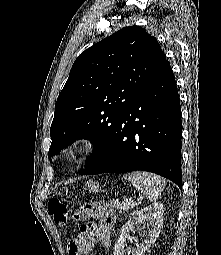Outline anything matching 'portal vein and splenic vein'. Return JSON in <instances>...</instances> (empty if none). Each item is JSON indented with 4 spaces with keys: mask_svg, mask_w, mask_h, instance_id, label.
Wrapping results in <instances>:
<instances>
[{
    "mask_svg": "<svg viewBox=\"0 0 221 255\" xmlns=\"http://www.w3.org/2000/svg\"><path fill=\"white\" fill-rule=\"evenodd\" d=\"M131 203L134 204V205L136 204V202H131Z\"/></svg>",
    "mask_w": 221,
    "mask_h": 255,
    "instance_id": "1",
    "label": "portal vein and splenic vein"
}]
</instances>
